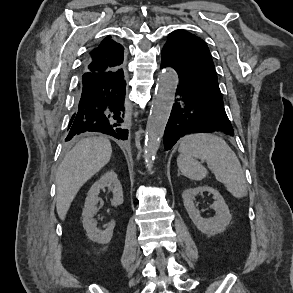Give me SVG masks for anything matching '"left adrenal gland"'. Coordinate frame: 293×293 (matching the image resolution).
Wrapping results in <instances>:
<instances>
[{
  "label": "left adrenal gland",
  "mask_w": 293,
  "mask_h": 293,
  "mask_svg": "<svg viewBox=\"0 0 293 293\" xmlns=\"http://www.w3.org/2000/svg\"><path fill=\"white\" fill-rule=\"evenodd\" d=\"M178 176H180V172L178 171Z\"/></svg>",
  "instance_id": "left-adrenal-gland-1"
}]
</instances>
